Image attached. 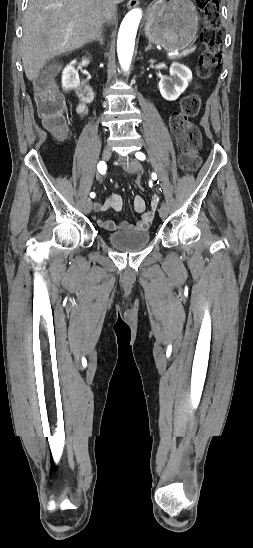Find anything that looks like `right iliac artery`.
Wrapping results in <instances>:
<instances>
[{
	"instance_id": "right-iliac-artery-1",
	"label": "right iliac artery",
	"mask_w": 253,
	"mask_h": 548,
	"mask_svg": "<svg viewBox=\"0 0 253 548\" xmlns=\"http://www.w3.org/2000/svg\"><path fill=\"white\" fill-rule=\"evenodd\" d=\"M97 169L99 171L100 174H105L106 173V169H107V166H106V163L101 161L99 162L98 166H97ZM90 197L91 198H94L95 197V193L94 192H91L90 193Z\"/></svg>"
}]
</instances>
